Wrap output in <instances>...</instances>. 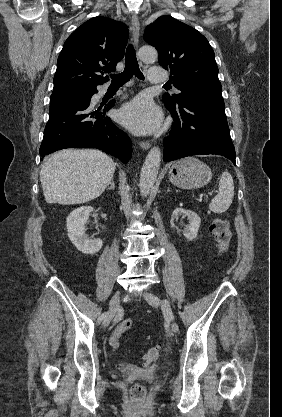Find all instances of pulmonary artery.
I'll use <instances>...</instances> for the list:
<instances>
[{
  "label": "pulmonary artery",
  "mask_w": 282,
  "mask_h": 417,
  "mask_svg": "<svg viewBox=\"0 0 282 417\" xmlns=\"http://www.w3.org/2000/svg\"><path fill=\"white\" fill-rule=\"evenodd\" d=\"M147 80L148 83H168L169 76L164 73L163 65H150Z\"/></svg>",
  "instance_id": "obj_1"
}]
</instances>
